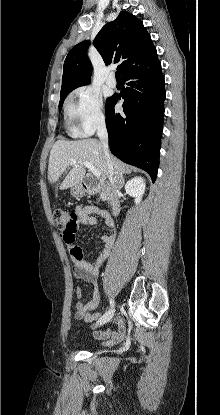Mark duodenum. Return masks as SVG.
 Returning <instances> with one entry per match:
<instances>
[{"label":"duodenum","mask_w":220,"mask_h":415,"mask_svg":"<svg viewBox=\"0 0 220 415\" xmlns=\"http://www.w3.org/2000/svg\"><path fill=\"white\" fill-rule=\"evenodd\" d=\"M81 188L84 190L87 194H95L100 193L105 195L108 200L111 207L112 214L116 216L120 211V201L117 195V192L115 189L110 185H96L91 184L87 181H83L81 183Z\"/></svg>","instance_id":"410a0bca"}]
</instances>
